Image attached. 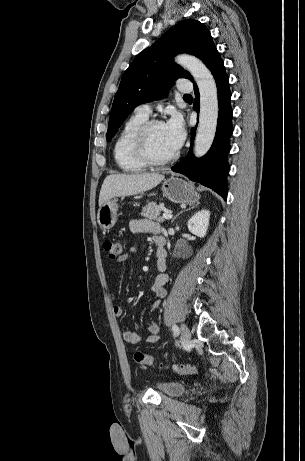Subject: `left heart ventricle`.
<instances>
[{
    "label": "left heart ventricle",
    "instance_id": "1",
    "mask_svg": "<svg viewBox=\"0 0 305 461\" xmlns=\"http://www.w3.org/2000/svg\"><path fill=\"white\" fill-rule=\"evenodd\" d=\"M148 149L151 156L155 159H164L176 152L167 138L164 125L155 126L151 130Z\"/></svg>",
    "mask_w": 305,
    "mask_h": 461
}]
</instances>
